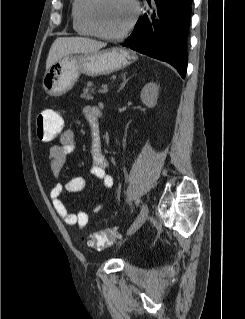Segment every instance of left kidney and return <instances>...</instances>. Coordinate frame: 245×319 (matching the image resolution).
<instances>
[{
	"label": "left kidney",
	"instance_id": "left-kidney-1",
	"mask_svg": "<svg viewBox=\"0 0 245 319\" xmlns=\"http://www.w3.org/2000/svg\"><path fill=\"white\" fill-rule=\"evenodd\" d=\"M159 95V86L156 83H147L141 90V101L149 108H153L157 104Z\"/></svg>",
	"mask_w": 245,
	"mask_h": 319
}]
</instances>
